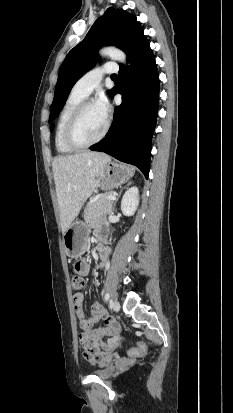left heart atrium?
Segmentation results:
<instances>
[{"label": "left heart atrium", "instance_id": "39dd6f15", "mask_svg": "<svg viewBox=\"0 0 233 413\" xmlns=\"http://www.w3.org/2000/svg\"><path fill=\"white\" fill-rule=\"evenodd\" d=\"M95 105L104 116V118L107 119L111 111V106L107 97L105 95H101L96 101Z\"/></svg>", "mask_w": 233, "mask_h": 413}]
</instances>
